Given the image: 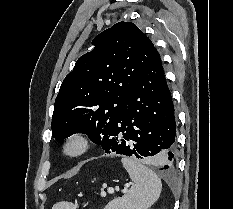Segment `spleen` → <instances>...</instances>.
I'll return each mask as SVG.
<instances>
[{
    "instance_id": "3e777b00",
    "label": "spleen",
    "mask_w": 233,
    "mask_h": 209,
    "mask_svg": "<svg viewBox=\"0 0 233 209\" xmlns=\"http://www.w3.org/2000/svg\"><path fill=\"white\" fill-rule=\"evenodd\" d=\"M121 162L133 185L121 198L109 202L104 209H148L159 198L162 183L151 169L133 158L123 157ZM70 202H59L52 209H73Z\"/></svg>"
}]
</instances>
